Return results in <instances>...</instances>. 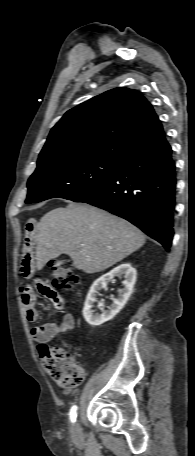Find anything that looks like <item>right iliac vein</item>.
I'll list each match as a JSON object with an SVG mask.
<instances>
[{"label": "right iliac vein", "instance_id": "63e3f726", "mask_svg": "<svg viewBox=\"0 0 195 456\" xmlns=\"http://www.w3.org/2000/svg\"><path fill=\"white\" fill-rule=\"evenodd\" d=\"M72 437L74 440H80L82 437V431L78 422H76L72 428Z\"/></svg>", "mask_w": 195, "mask_h": 456}]
</instances>
